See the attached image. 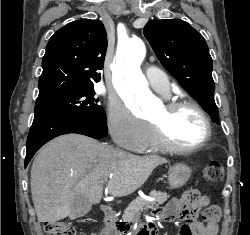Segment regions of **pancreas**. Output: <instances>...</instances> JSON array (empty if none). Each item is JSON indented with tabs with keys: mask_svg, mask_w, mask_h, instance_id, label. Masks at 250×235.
Here are the masks:
<instances>
[{
	"mask_svg": "<svg viewBox=\"0 0 250 235\" xmlns=\"http://www.w3.org/2000/svg\"><path fill=\"white\" fill-rule=\"evenodd\" d=\"M150 196L155 198V201L149 202L141 197H137L124 211L122 218L127 222H138L140 220L141 212L149 208H156L165 203L170 195L166 192L153 190Z\"/></svg>",
	"mask_w": 250,
	"mask_h": 235,
	"instance_id": "cf45deb5",
	"label": "pancreas"
}]
</instances>
